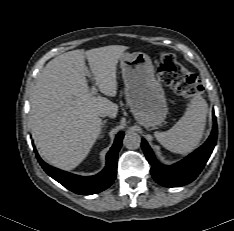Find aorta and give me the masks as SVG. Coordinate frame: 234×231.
<instances>
[{"mask_svg":"<svg viewBox=\"0 0 234 231\" xmlns=\"http://www.w3.org/2000/svg\"><path fill=\"white\" fill-rule=\"evenodd\" d=\"M123 144L127 149L130 150L138 149L141 144V137L136 132L128 131L124 136Z\"/></svg>","mask_w":234,"mask_h":231,"instance_id":"1","label":"aorta"}]
</instances>
